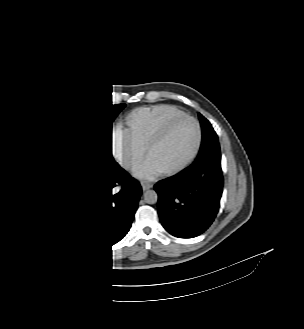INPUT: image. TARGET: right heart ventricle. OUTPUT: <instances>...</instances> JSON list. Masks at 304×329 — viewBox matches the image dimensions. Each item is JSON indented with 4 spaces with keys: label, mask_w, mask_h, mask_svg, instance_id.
I'll use <instances>...</instances> for the list:
<instances>
[{
    "label": "right heart ventricle",
    "mask_w": 304,
    "mask_h": 329,
    "mask_svg": "<svg viewBox=\"0 0 304 329\" xmlns=\"http://www.w3.org/2000/svg\"><path fill=\"white\" fill-rule=\"evenodd\" d=\"M186 114L183 110L174 105H156L145 108L141 113L139 123V141L143 148L149 140L158 133L171 118ZM130 130L136 134V125L131 121Z\"/></svg>",
    "instance_id": "right-heart-ventricle-1"
}]
</instances>
